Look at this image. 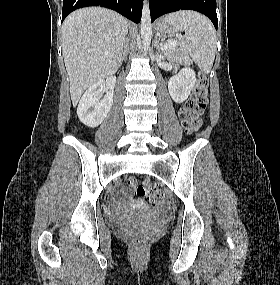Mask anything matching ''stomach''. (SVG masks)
I'll return each instance as SVG.
<instances>
[{"label":"stomach","mask_w":280,"mask_h":285,"mask_svg":"<svg viewBox=\"0 0 280 285\" xmlns=\"http://www.w3.org/2000/svg\"><path fill=\"white\" fill-rule=\"evenodd\" d=\"M156 31L162 37H171L177 35V30L174 28V26L163 19L157 22Z\"/></svg>","instance_id":"obj_1"}]
</instances>
